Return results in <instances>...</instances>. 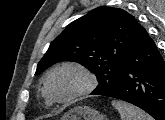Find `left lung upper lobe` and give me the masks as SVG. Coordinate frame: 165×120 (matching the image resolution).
<instances>
[{
  "instance_id": "left-lung-upper-lobe-1",
  "label": "left lung upper lobe",
  "mask_w": 165,
  "mask_h": 120,
  "mask_svg": "<svg viewBox=\"0 0 165 120\" xmlns=\"http://www.w3.org/2000/svg\"><path fill=\"white\" fill-rule=\"evenodd\" d=\"M146 32L123 9L98 7L70 23L50 44L35 75L60 61H74L93 72L99 84L92 94L116 89L126 57Z\"/></svg>"
}]
</instances>
